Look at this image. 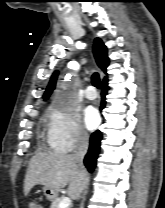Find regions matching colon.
Wrapping results in <instances>:
<instances>
[{
    "mask_svg": "<svg viewBox=\"0 0 165 208\" xmlns=\"http://www.w3.org/2000/svg\"><path fill=\"white\" fill-rule=\"evenodd\" d=\"M28 208H42L41 204L38 202H31Z\"/></svg>",
    "mask_w": 165,
    "mask_h": 208,
    "instance_id": "colon-1",
    "label": "colon"
}]
</instances>
